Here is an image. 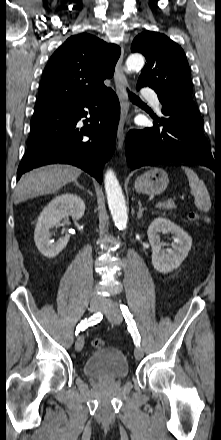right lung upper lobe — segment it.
<instances>
[{"instance_id": "1", "label": "right lung upper lobe", "mask_w": 221, "mask_h": 440, "mask_svg": "<svg viewBox=\"0 0 221 440\" xmlns=\"http://www.w3.org/2000/svg\"><path fill=\"white\" fill-rule=\"evenodd\" d=\"M121 50L90 34L68 38L46 65L35 107L106 92Z\"/></svg>"}]
</instances>
